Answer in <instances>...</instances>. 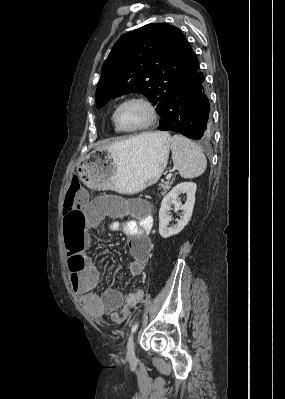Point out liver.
<instances>
[{
  "label": "liver",
  "mask_w": 285,
  "mask_h": 399,
  "mask_svg": "<svg viewBox=\"0 0 285 399\" xmlns=\"http://www.w3.org/2000/svg\"><path fill=\"white\" fill-rule=\"evenodd\" d=\"M157 135H158V133L157 132H150V133H143V134H141V135H139V136H136V137H143V138H148V139H154V138H156L157 137ZM131 139V138H130ZM127 140H129V139H127ZM126 141V140H125ZM119 142H108V143H104V144H101L99 147H97V148H100V149H106V148H110V147H112V146H114V145H116V144H118Z\"/></svg>",
  "instance_id": "6515ba94"
}]
</instances>
